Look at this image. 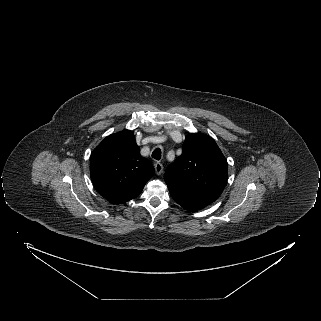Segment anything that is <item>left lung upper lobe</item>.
I'll list each match as a JSON object with an SVG mask.
<instances>
[{
  "label": "left lung upper lobe",
  "mask_w": 321,
  "mask_h": 321,
  "mask_svg": "<svg viewBox=\"0 0 321 321\" xmlns=\"http://www.w3.org/2000/svg\"><path fill=\"white\" fill-rule=\"evenodd\" d=\"M227 176V160L216 142L208 135L190 133L183 153L167 168L164 179L179 205L197 211L221 195Z\"/></svg>",
  "instance_id": "obj_1"
}]
</instances>
